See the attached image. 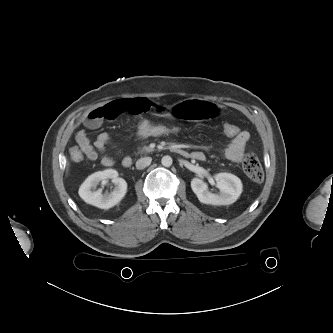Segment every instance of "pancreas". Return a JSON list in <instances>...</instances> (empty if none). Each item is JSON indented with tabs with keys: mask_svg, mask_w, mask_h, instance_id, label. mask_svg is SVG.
I'll return each instance as SVG.
<instances>
[{
	"mask_svg": "<svg viewBox=\"0 0 333 333\" xmlns=\"http://www.w3.org/2000/svg\"><path fill=\"white\" fill-rule=\"evenodd\" d=\"M146 149H147V147H144V148H143V150H146Z\"/></svg>",
	"mask_w": 333,
	"mask_h": 333,
	"instance_id": "pancreas-1",
	"label": "pancreas"
}]
</instances>
